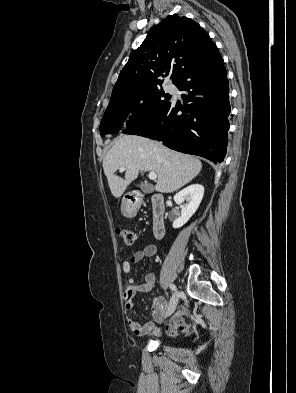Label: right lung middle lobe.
<instances>
[{
  "mask_svg": "<svg viewBox=\"0 0 296 393\" xmlns=\"http://www.w3.org/2000/svg\"><path fill=\"white\" fill-rule=\"evenodd\" d=\"M171 95L160 90V86L136 94L127 99L110 101L100 123V134L118 132L127 116L134 113L127 123V127L142 120L154 117L170 101ZM143 101L140 104V101ZM140 108V111H136Z\"/></svg>",
  "mask_w": 296,
  "mask_h": 393,
  "instance_id": "1",
  "label": "right lung middle lobe"
}]
</instances>
